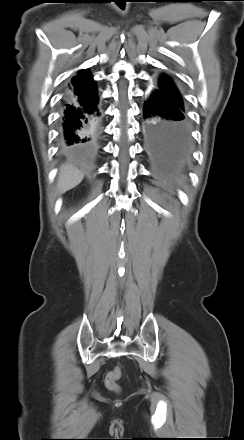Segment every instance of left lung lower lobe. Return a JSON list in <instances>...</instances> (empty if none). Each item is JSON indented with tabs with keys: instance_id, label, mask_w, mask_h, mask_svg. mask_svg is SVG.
Listing matches in <instances>:
<instances>
[{
	"instance_id": "1",
	"label": "left lung lower lobe",
	"mask_w": 244,
	"mask_h": 440,
	"mask_svg": "<svg viewBox=\"0 0 244 440\" xmlns=\"http://www.w3.org/2000/svg\"><path fill=\"white\" fill-rule=\"evenodd\" d=\"M143 133L147 152L165 173H183L192 152L191 126L183 104L158 86L144 104Z\"/></svg>"
}]
</instances>
